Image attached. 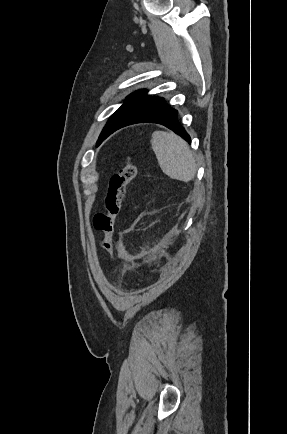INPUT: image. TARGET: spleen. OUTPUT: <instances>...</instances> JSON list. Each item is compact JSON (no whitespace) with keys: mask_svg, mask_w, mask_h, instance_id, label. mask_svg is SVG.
<instances>
[{"mask_svg":"<svg viewBox=\"0 0 287 434\" xmlns=\"http://www.w3.org/2000/svg\"><path fill=\"white\" fill-rule=\"evenodd\" d=\"M151 144L161 170L171 179L188 182L197 166L189 145L172 132L154 131Z\"/></svg>","mask_w":287,"mask_h":434,"instance_id":"3e777b00","label":"spleen"}]
</instances>
